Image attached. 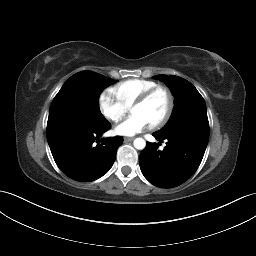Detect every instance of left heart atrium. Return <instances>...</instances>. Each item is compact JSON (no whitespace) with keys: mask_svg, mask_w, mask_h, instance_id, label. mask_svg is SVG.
<instances>
[{"mask_svg":"<svg viewBox=\"0 0 256 256\" xmlns=\"http://www.w3.org/2000/svg\"><path fill=\"white\" fill-rule=\"evenodd\" d=\"M150 126L149 121L142 115H132L115 127V133L122 136H133Z\"/></svg>","mask_w":256,"mask_h":256,"instance_id":"39dd6f15","label":"left heart atrium"}]
</instances>
